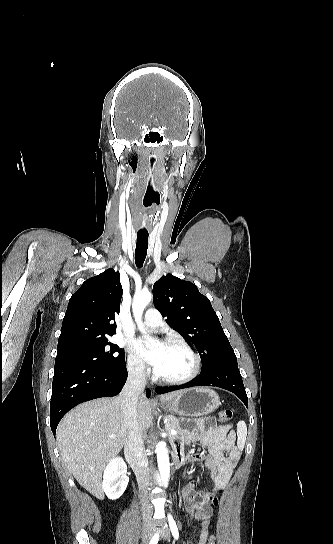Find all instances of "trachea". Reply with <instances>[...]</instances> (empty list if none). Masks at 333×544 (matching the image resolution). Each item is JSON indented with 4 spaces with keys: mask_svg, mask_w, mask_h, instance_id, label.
<instances>
[{
    "mask_svg": "<svg viewBox=\"0 0 333 544\" xmlns=\"http://www.w3.org/2000/svg\"><path fill=\"white\" fill-rule=\"evenodd\" d=\"M148 249V234H137V243L135 249V264L138 268L143 266Z\"/></svg>",
    "mask_w": 333,
    "mask_h": 544,
    "instance_id": "3493384b",
    "label": "trachea"
}]
</instances>
